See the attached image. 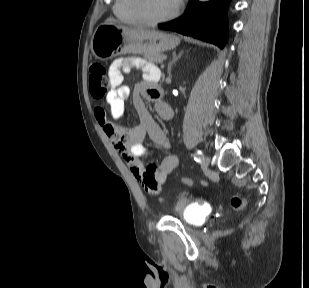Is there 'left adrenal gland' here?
I'll return each instance as SVG.
<instances>
[{
	"label": "left adrenal gland",
	"instance_id": "left-adrenal-gland-1",
	"mask_svg": "<svg viewBox=\"0 0 309 288\" xmlns=\"http://www.w3.org/2000/svg\"><path fill=\"white\" fill-rule=\"evenodd\" d=\"M182 54H183V51L180 52L178 55L176 54V52H173V54H172V61L168 64V75H169V77H171V67H172V64L175 63L178 59H180Z\"/></svg>",
	"mask_w": 309,
	"mask_h": 288
}]
</instances>
